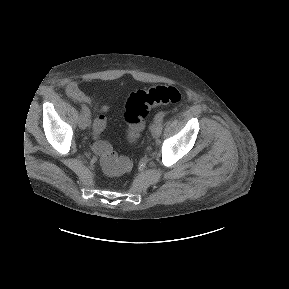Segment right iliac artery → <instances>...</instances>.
Segmentation results:
<instances>
[{
  "mask_svg": "<svg viewBox=\"0 0 289 289\" xmlns=\"http://www.w3.org/2000/svg\"><path fill=\"white\" fill-rule=\"evenodd\" d=\"M82 112L84 115L90 117V110L88 109L86 105H82Z\"/></svg>",
  "mask_w": 289,
  "mask_h": 289,
  "instance_id": "obj_1",
  "label": "right iliac artery"
}]
</instances>
